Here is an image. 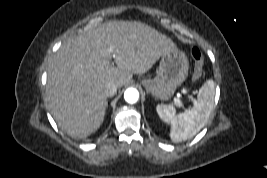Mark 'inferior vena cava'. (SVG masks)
<instances>
[{"label":"inferior vena cava","mask_w":267,"mask_h":178,"mask_svg":"<svg viewBox=\"0 0 267 178\" xmlns=\"http://www.w3.org/2000/svg\"><path fill=\"white\" fill-rule=\"evenodd\" d=\"M117 92V86L114 83H107L104 88V93L107 97H112Z\"/></svg>","instance_id":"inferior-vena-cava-1"}]
</instances>
